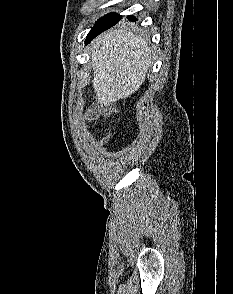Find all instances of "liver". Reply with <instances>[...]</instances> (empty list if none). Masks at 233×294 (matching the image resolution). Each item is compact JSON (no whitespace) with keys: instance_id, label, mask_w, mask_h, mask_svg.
Returning a JSON list of instances; mask_svg holds the SVG:
<instances>
[{"instance_id":"1","label":"liver","mask_w":233,"mask_h":294,"mask_svg":"<svg viewBox=\"0 0 233 294\" xmlns=\"http://www.w3.org/2000/svg\"><path fill=\"white\" fill-rule=\"evenodd\" d=\"M93 88L98 108L138 91L152 64L148 41L125 29H110L91 43Z\"/></svg>"}]
</instances>
